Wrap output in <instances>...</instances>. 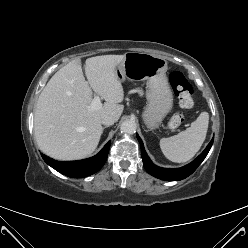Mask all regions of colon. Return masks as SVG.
<instances>
[{
  "label": "colon",
  "instance_id": "1",
  "mask_svg": "<svg viewBox=\"0 0 248 248\" xmlns=\"http://www.w3.org/2000/svg\"><path fill=\"white\" fill-rule=\"evenodd\" d=\"M171 86L178 98L179 105L182 108L189 109L193 106V87L186 77L179 71L170 74ZM184 122V116L181 112L173 115L169 122V127L175 129Z\"/></svg>",
  "mask_w": 248,
  "mask_h": 248
}]
</instances>
